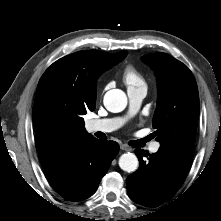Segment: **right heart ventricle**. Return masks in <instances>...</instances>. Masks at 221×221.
I'll return each mask as SVG.
<instances>
[{"mask_svg":"<svg viewBox=\"0 0 221 221\" xmlns=\"http://www.w3.org/2000/svg\"><path fill=\"white\" fill-rule=\"evenodd\" d=\"M122 78L128 88L146 87L143 76L131 65L124 69Z\"/></svg>","mask_w":221,"mask_h":221,"instance_id":"right-heart-ventricle-1","label":"right heart ventricle"}]
</instances>
